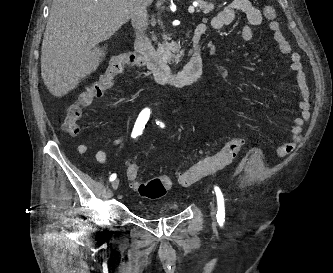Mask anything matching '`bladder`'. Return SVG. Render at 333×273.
Here are the masks:
<instances>
[{
	"instance_id": "1",
	"label": "bladder",
	"mask_w": 333,
	"mask_h": 273,
	"mask_svg": "<svg viewBox=\"0 0 333 273\" xmlns=\"http://www.w3.org/2000/svg\"><path fill=\"white\" fill-rule=\"evenodd\" d=\"M175 212L174 209L171 208H158L154 213L150 215L152 218H162L164 216L173 214Z\"/></svg>"
}]
</instances>
